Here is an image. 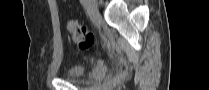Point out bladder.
<instances>
[{
	"label": "bladder",
	"instance_id": "obj_1",
	"mask_svg": "<svg viewBox=\"0 0 209 90\" xmlns=\"http://www.w3.org/2000/svg\"><path fill=\"white\" fill-rule=\"evenodd\" d=\"M84 75V68L80 65H73L66 71V77L69 79H76Z\"/></svg>",
	"mask_w": 209,
	"mask_h": 90
}]
</instances>
